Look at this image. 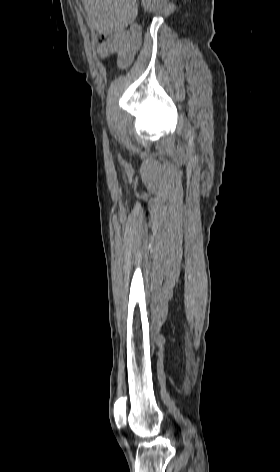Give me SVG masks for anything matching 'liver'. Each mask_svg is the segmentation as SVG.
I'll return each instance as SVG.
<instances>
[{"label": "liver", "mask_w": 280, "mask_h": 472, "mask_svg": "<svg viewBox=\"0 0 280 472\" xmlns=\"http://www.w3.org/2000/svg\"><path fill=\"white\" fill-rule=\"evenodd\" d=\"M91 28L109 34L133 23L138 14L137 0H82Z\"/></svg>", "instance_id": "obj_1"}]
</instances>
